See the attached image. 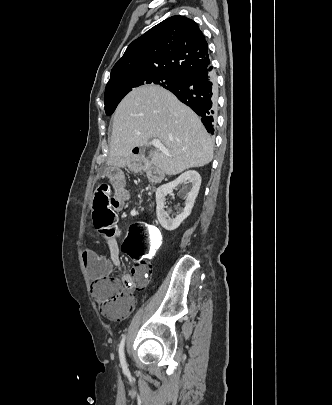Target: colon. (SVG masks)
<instances>
[{
  "mask_svg": "<svg viewBox=\"0 0 332 405\" xmlns=\"http://www.w3.org/2000/svg\"><path fill=\"white\" fill-rule=\"evenodd\" d=\"M111 197V186L104 183L96 189L93 200V225L95 230L105 237H112L115 234L116 214L111 210ZM152 227L155 228L148 221H137L131 224L123 255L156 256V251L160 250L162 244V237L159 231H152ZM151 261L152 258L148 257L147 260L139 262L130 282L113 276H104L94 282L93 295L105 315L113 317L124 312L131 298L132 289H138L144 285L151 270Z\"/></svg>",
  "mask_w": 332,
  "mask_h": 405,
  "instance_id": "1",
  "label": "colon"
}]
</instances>
